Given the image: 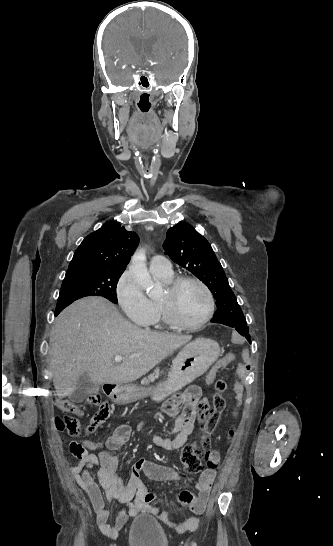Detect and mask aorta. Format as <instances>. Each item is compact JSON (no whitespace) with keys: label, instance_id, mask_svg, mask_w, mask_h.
Masks as SVG:
<instances>
[{"label":"aorta","instance_id":"aorta-1","mask_svg":"<svg viewBox=\"0 0 333 546\" xmlns=\"http://www.w3.org/2000/svg\"><path fill=\"white\" fill-rule=\"evenodd\" d=\"M130 270L134 275L136 283L151 295L153 293L154 282L146 265V254L144 249L137 250L131 258Z\"/></svg>","mask_w":333,"mask_h":546}]
</instances>
